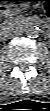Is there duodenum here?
Segmentation results:
<instances>
[{
  "instance_id": "duodenum-1",
  "label": "duodenum",
  "mask_w": 50,
  "mask_h": 111,
  "mask_svg": "<svg viewBox=\"0 0 50 111\" xmlns=\"http://www.w3.org/2000/svg\"><path fill=\"white\" fill-rule=\"evenodd\" d=\"M32 26H39V27H46V23L39 20L27 19L23 22V28L32 27Z\"/></svg>"
}]
</instances>
